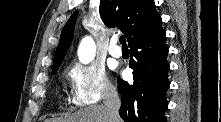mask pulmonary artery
Instances as JSON below:
<instances>
[{
  "label": "pulmonary artery",
  "instance_id": "obj_1",
  "mask_svg": "<svg viewBox=\"0 0 221 122\" xmlns=\"http://www.w3.org/2000/svg\"><path fill=\"white\" fill-rule=\"evenodd\" d=\"M117 37H113L109 46V54L115 58H120L122 56V49L117 45Z\"/></svg>",
  "mask_w": 221,
  "mask_h": 122
}]
</instances>
